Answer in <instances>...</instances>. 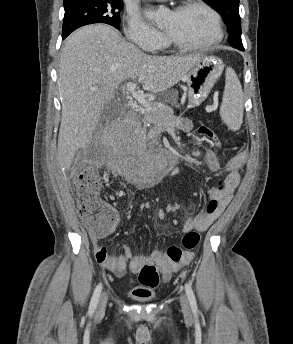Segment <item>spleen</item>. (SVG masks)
<instances>
[{
	"label": "spleen",
	"instance_id": "spleen-1",
	"mask_svg": "<svg viewBox=\"0 0 293 344\" xmlns=\"http://www.w3.org/2000/svg\"><path fill=\"white\" fill-rule=\"evenodd\" d=\"M220 116L227 127L233 131L239 130L243 123V91L240 81L232 68L226 69Z\"/></svg>",
	"mask_w": 293,
	"mask_h": 344
}]
</instances>
